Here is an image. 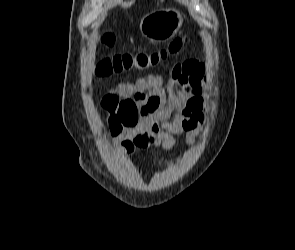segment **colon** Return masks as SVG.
<instances>
[{"label":"colon","mask_w":295,"mask_h":250,"mask_svg":"<svg viewBox=\"0 0 295 250\" xmlns=\"http://www.w3.org/2000/svg\"><path fill=\"white\" fill-rule=\"evenodd\" d=\"M187 37L179 36L171 40L165 49L153 53H123L101 59L95 67V75L107 77L115 73L130 69H144L154 66L166 59L170 54L181 51L187 43ZM103 42L112 45L114 36L106 33ZM101 106L108 113V126L111 135H120L127 128L138 125L143 110L138 103L131 99H120L117 96L107 95L102 99Z\"/></svg>","instance_id":"colon-1"}]
</instances>
